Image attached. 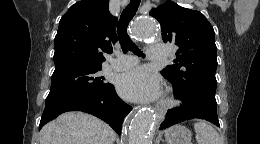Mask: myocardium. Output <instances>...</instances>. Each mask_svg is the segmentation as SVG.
I'll list each match as a JSON object with an SVG mask.
<instances>
[{"label":"myocardium","instance_id":"obj_1","mask_svg":"<svg viewBox=\"0 0 260 144\" xmlns=\"http://www.w3.org/2000/svg\"><path fill=\"white\" fill-rule=\"evenodd\" d=\"M163 104L166 106H170V105H172V100L170 98H167L163 101Z\"/></svg>","mask_w":260,"mask_h":144}]
</instances>
